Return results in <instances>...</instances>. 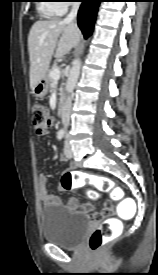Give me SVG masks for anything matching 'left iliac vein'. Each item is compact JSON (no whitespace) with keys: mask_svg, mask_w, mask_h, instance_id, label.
<instances>
[{"mask_svg":"<svg viewBox=\"0 0 158 275\" xmlns=\"http://www.w3.org/2000/svg\"><path fill=\"white\" fill-rule=\"evenodd\" d=\"M64 155L66 158H72L73 155L71 145L67 141L65 142Z\"/></svg>","mask_w":158,"mask_h":275,"instance_id":"4c4485c4","label":"left iliac vein"}]
</instances>
